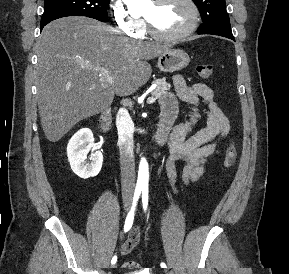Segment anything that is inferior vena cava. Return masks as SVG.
Returning a JSON list of instances; mask_svg holds the SVG:
<instances>
[{"mask_svg": "<svg viewBox=\"0 0 289 274\" xmlns=\"http://www.w3.org/2000/svg\"><path fill=\"white\" fill-rule=\"evenodd\" d=\"M116 126L120 150L122 194L123 196L133 195L135 189L134 124L126 109H119L116 116Z\"/></svg>", "mask_w": 289, "mask_h": 274, "instance_id": "inferior-vena-cava-1", "label": "inferior vena cava"}]
</instances>
